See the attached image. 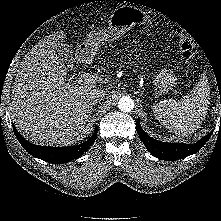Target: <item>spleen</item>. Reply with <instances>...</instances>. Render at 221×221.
Here are the masks:
<instances>
[{
    "label": "spleen",
    "instance_id": "1",
    "mask_svg": "<svg viewBox=\"0 0 221 221\" xmlns=\"http://www.w3.org/2000/svg\"><path fill=\"white\" fill-rule=\"evenodd\" d=\"M210 89L203 74L192 91L181 100L152 106L157 120L177 136H189L202 124L210 104Z\"/></svg>",
    "mask_w": 221,
    "mask_h": 221
}]
</instances>
